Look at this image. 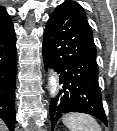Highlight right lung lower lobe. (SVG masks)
Segmentation results:
<instances>
[{
  "label": "right lung lower lobe",
  "mask_w": 117,
  "mask_h": 131,
  "mask_svg": "<svg viewBox=\"0 0 117 131\" xmlns=\"http://www.w3.org/2000/svg\"><path fill=\"white\" fill-rule=\"evenodd\" d=\"M16 36L13 25L0 33V117L10 131L15 126Z\"/></svg>",
  "instance_id": "right-lung-lower-lobe-1"
}]
</instances>
